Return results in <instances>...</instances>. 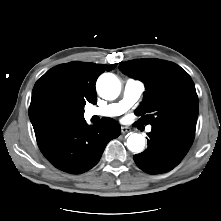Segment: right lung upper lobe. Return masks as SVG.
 <instances>
[{
    "label": "right lung upper lobe",
    "mask_w": 221,
    "mask_h": 221,
    "mask_svg": "<svg viewBox=\"0 0 221 221\" xmlns=\"http://www.w3.org/2000/svg\"><path fill=\"white\" fill-rule=\"evenodd\" d=\"M115 66L70 62L48 70L32 91L29 118L35 135L61 121L78 119L86 102L97 103L96 80Z\"/></svg>",
    "instance_id": "1"
}]
</instances>
